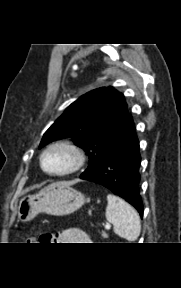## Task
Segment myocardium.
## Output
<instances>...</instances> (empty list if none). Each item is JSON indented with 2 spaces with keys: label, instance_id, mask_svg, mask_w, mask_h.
<instances>
[{
  "label": "myocardium",
  "instance_id": "f54148a6",
  "mask_svg": "<svg viewBox=\"0 0 181 288\" xmlns=\"http://www.w3.org/2000/svg\"><path fill=\"white\" fill-rule=\"evenodd\" d=\"M54 149H63L68 151L73 158L72 165L63 171L60 172H50L45 168L44 165V159L45 156ZM85 154L84 151L74 142L69 140H58L51 144H49L41 153L40 155V166L44 173H46L49 176H55V177H63L67 175H71L79 171L84 163H85Z\"/></svg>",
  "mask_w": 181,
  "mask_h": 288
}]
</instances>
